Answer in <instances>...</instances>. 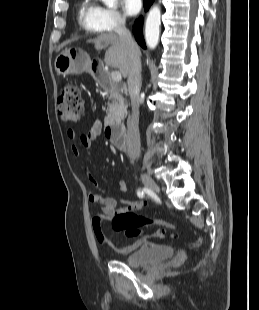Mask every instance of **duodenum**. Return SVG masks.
I'll list each match as a JSON object with an SVG mask.
<instances>
[{
  "instance_id": "obj_1",
  "label": "duodenum",
  "mask_w": 259,
  "mask_h": 310,
  "mask_svg": "<svg viewBox=\"0 0 259 310\" xmlns=\"http://www.w3.org/2000/svg\"><path fill=\"white\" fill-rule=\"evenodd\" d=\"M90 71L98 79L103 88L112 90L116 87L107 73L103 71L98 61H93ZM105 135L116 147L120 149L126 148L125 136L121 124L108 121L105 125Z\"/></svg>"
}]
</instances>
